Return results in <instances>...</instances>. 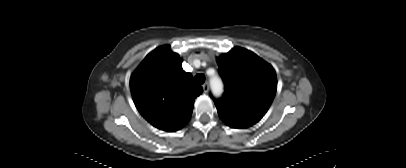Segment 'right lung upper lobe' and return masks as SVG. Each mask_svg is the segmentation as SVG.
<instances>
[{
  "label": "right lung upper lobe",
  "mask_w": 406,
  "mask_h": 168,
  "mask_svg": "<svg viewBox=\"0 0 406 168\" xmlns=\"http://www.w3.org/2000/svg\"><path fill=\"white\" fill-rule=\"evenodd\" d=\"M130 88L140 114L153 126L169 132L188 123L194 100L203 92L168 45L146 56L131 76Z\"/></svg>",
  "instance_id": "cb5924a9"
}]
</instances>
